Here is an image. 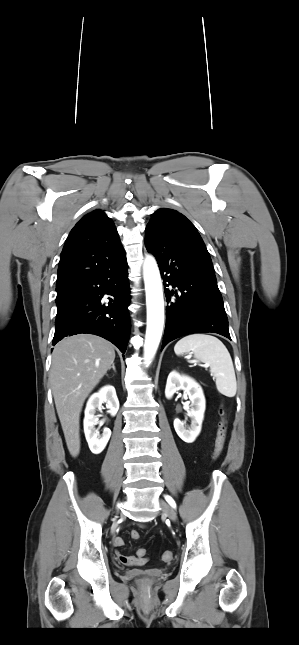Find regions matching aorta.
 Returning <instances> with one entry per match:
<instances>
[{
  "label": "aorta",
  "mask_w": 299,
  "mask_h": 645,
  "mask_svg": "<svg viewBox=\"0 0 299 645\" xmlns=\"http://www.w3.org/2000/svg\"><path fill=\"white\" fill-rule=\"evenodd\" d=\"M143 276L146 291L147 328L144 358L150 362L159 346L164 325V299L162 281L156 260L151 255L145 258Z\"/></svg>",
  "instance_id": "obj_1"
}]
</instances>
